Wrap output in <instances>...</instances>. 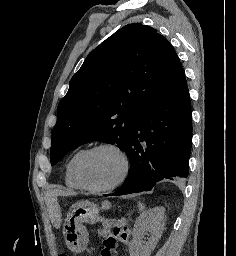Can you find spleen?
Masks as SVG:
<instances>
[{"instance_id":"obj_1","label":"spleen","mask_w":236,"mask_h":256,"mask_svg":"<svg viewBox=\"0 0 236 256\" xmlns=\"http://www.w3.org/2000/svg\"><path fill=\"white\" fill-rule=\"evenodd\" d=\"M139 208L140 210H143L144 206H142V204H139Z\"/></svg>"}]
</instances>
